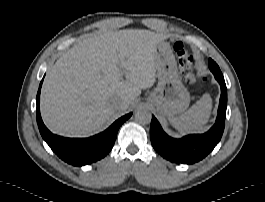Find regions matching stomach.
Listing matches in <instances>:
<instances>
[{
    "instance_id": "0dacf381",
    "label": "stomach",
    "mask_w": 265,
    "mask_h": 202,
    "mask_svg": "<svg viewBox=\"0 0 265 202\" xmlns=\"http://www.w3.org/2000/svg\"><path fill=\"white\" fill-rule=\"evenodd\" d=\"M158 85L150 100L156 110L168 118L184 112L190 103V94L178 76L175 57L167 42H160L155 48Z\"/></svg>"
}]
</instances>
